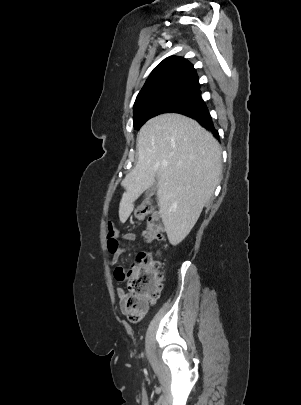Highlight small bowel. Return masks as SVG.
I'll list each match as a JSON object with an SVG mask.
<instances>
[{
    "instance_id": "1",
    "label": "small bowel",
    "mask_w": 301,
    "mask_h": 405,
    "mask_svg": "<svg viewBox=\"0 0 301 405\" xmlns=\"http://www.w3.org/2000/svg\"><path fill=\"white\" fill-rule=\"evenodd\" d=\"M122 239L124 241H129V242H136L137 241V237L135 234L133 233H126L123 235ZM125 252V249L118 245V247L116 248V250L112 253V263H116L119 259V257ZM115 278L118 281H125L126 280V271L123 267L119 266L115 269V273H114ZM125 294V290L122 287L117 288V295L120 298V301L122 300L123 296Z\"/></svg>"
}]
</instances>
